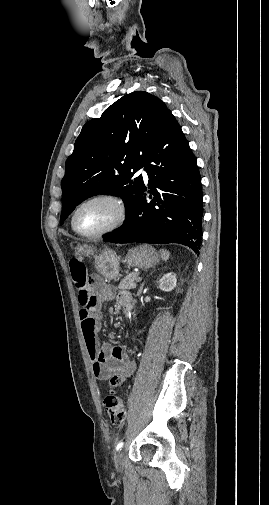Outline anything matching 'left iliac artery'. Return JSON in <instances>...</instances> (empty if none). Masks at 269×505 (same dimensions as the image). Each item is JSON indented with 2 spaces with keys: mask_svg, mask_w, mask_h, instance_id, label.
<instances>
[{
  "mask_svg": "<svg viewBox=\"0 0 269 505\" xmlns=\"http://www.w3.org/2000/svg\"><path fill=\"white\" fill-rule=\"evenodd\" d=\"M123 445H124V442L118 443V445L116 446V450L120 451L122 449Z\"/></svg>",
  "mask_w": 269,
  "mask_h": 505,
  "instance_id": "obj_1",
  "label": "left iliac artery"
}]
</instances>
